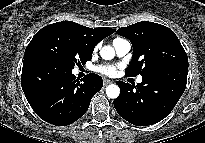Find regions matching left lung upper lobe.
<instances>
[{"label": "left lung upper lobe", "mask_w": 205, "mask_h": 143, "mask_svg": "<svg viewBox=\"0 0 205 143\" xmlns=\"http://www.w3.org/2000/svg\"><path fill=\"white\" fill-rule=\"evenodd\" d=\"M119 35L129 39L133 45L127 76H144L155 68L174 64L188 65L187 54L178 37L168 27L142 21L117 30Z\"/></svg>", "instance_id": "5c2ea615"}]
</instances>
